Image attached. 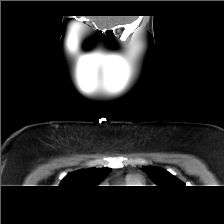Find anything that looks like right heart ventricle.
I'll return each mask as SVG.
<instances>
[{
    "label": "right heart ventricle",
    "instance_id": "1",
    "mask_svg": "<svg viewBox=\"0 0 224 224\" xmlns=\"http://www.w3.org/2000/svg\"><path fill=\"white\" fill-rule=\"evenodd\" d=\"M126 183L127 185H131V186H134V185H137L138 184V181L133 179V178H127L126 179Z\"/></svg>",
    "mask_w": 224,
    "mask_h": 224
}]
</instances>
